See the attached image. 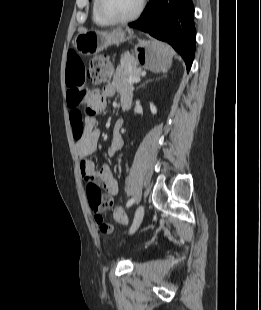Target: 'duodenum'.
<instances>
[{"label":"duodenum","instance_id":"410a0bca","mask_svg":"<svg viewBox=\"0 0 261 310\" xmlns=\"http://www.w3.org/2000/svg\"><path fill=\"white\" fill-rule=\"evenodd\" d=\"M131 106V98L129 97H122L121 98V107L123 110H128Z\"/></svg>","mask_w":261,"mask_h":310}]
</instances>
